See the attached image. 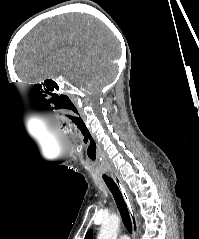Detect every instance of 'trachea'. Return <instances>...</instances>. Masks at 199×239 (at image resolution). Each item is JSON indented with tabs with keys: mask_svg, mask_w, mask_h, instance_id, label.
I'll list each match as a JSON object with an SVG mask.
<instances>
[{
	"mask_svg": "<svg viewBox=\"0 0 199 239\" xmlns=\"http://www.w3.org/2000/svg\"><path fill=\"white\" fill-rule=\"evenodd\" d=\"M103 180L105 181L107 187L109 188V190L111 191L113 197H114V200L118 206V209L121 213V216H122V220H123V223L126 227V229L128 230L129 233L132 232V223H131V219H130V216H129V212H128V209H127V205L123 199V196L118 188V186L114 183V181L108 177L107 175H103L102 176Z\"/></svg>",
	"mask_w": 199,
	"mask_h": 239,
	"instance_id": "3493384b",
	"label": "trachea"
}]
</instances>
